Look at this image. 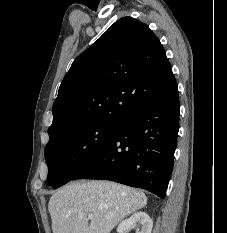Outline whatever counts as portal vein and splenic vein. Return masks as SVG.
<instances>
[{
    "instance_id": "portal-vein-and-splenic-vein-1",
    "label": "portal vein and splenic vein",
    "mask_w": 227,
    "mask_h": 233,
    "mask_svg": "<svg viewBox=\"0 0 227 233\" xmlns=\"http://www.w3.org/2000/svg\"><path fill=\"white\" fill-rule=\"evenodd\" d=\"M88 218H89L90 220H93V218H94L93 214H88Z\"/></svg>"
}]
</instances>
